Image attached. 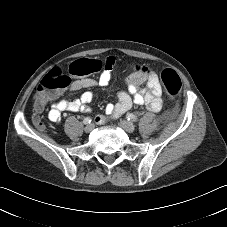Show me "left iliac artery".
<instances>
[{"label": "left iliac artery", "mask_w": 227, "mask_h": 227, "mask_svg": "<svg viewBox=\"0 0 227 227\" xmlns=\"http://www.w3.org/2000/svg\"><path fill=\"white\" fill-rule=\"evenodd\" d=\"M127 119L131 121H136L137 117L134 114L130 113L127 115Z\"/></svg>", "instance_id": "1"}]
</instances>
